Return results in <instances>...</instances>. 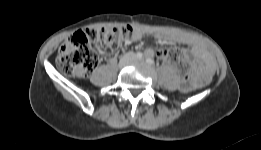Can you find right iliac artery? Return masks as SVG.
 Returning <instances> with one entry per match:
<instances>
[{
	"mask_svg": "<svg viewBox=\"0 0 261 150\" xmlns=\"http://www.w3.org/2000/svg\"><path fill=\"white\" fill-rule=\"evenodd\" d=\"M136 57L140 59V58L143 57V54H142L141 52H138V53L136 54Z\"/></svg>",
	"mask_w": 261,
	"mask_h": 150,
	"instance_id": "82829eb1",
	"label": "right iliac artery"
}]
</instances>
